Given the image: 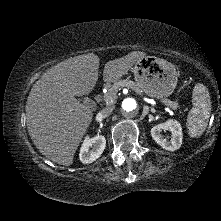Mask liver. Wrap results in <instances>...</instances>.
Returning <instances> with one entry per match:
<instances>
[{"instance_id":"liver-1","label":"liver","mask_w":221,"mask_h":221,"mask_svg":"<svg viewBox=\"0 0 221 221\" xmlns=\"http://www.w3.org/2000/svg\"><path fill=\"white\" fill-rule=\"evenodd\" d=\"M146 54L133 51L109 61L104 82H115ZM100 59L93 53L64 60L33 85L26 102V123L36 148L48 159L70 166L93 118V111L75 96L89 94L98 80Z\"/></svg>"}]
</instances>
